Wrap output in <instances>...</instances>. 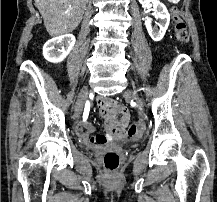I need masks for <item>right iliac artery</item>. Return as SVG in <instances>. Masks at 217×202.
<instances>
[{
    "label": "right iliac artery",
    "mask_w": 217,
    "mask_h": 202,
    "mask_svg": "<svg viewBox=\"0 0 217 202\" xmlns=\"http://www.w3.org/2000/svg\"><path fill=\"white\" fill-rule=\"evenodd\" d=\"M85 104L86 105H85V108H84V111H83V116H82V119L84 121L87 119V117H89L90 109L92 108L91 101H86Z\"/></svg>",
    "instance_id": "1"
}]
</instances>
